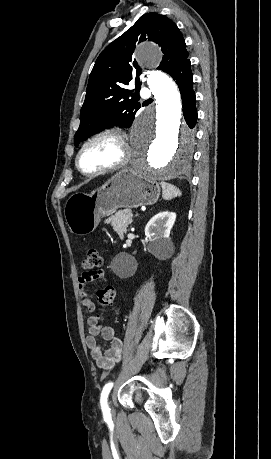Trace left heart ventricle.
<instances>
[{
    "instance_id": "b2bd125f",
    "label": "left heart ventricle",
    "mask_w": 271,
    "mask_h": 459,
    "mask_svg": "<svg viewBox=\"0 0 271 459\" xmlns=\"http://www.w3.org/2000/svg\"><path fill=\"white\" fill-rule=\"evenodd\" d=\"M120 154V144L112 135H103L91 140L80 156V167L93 171L115 161Z\"/></svg>"
}]
</instances>
